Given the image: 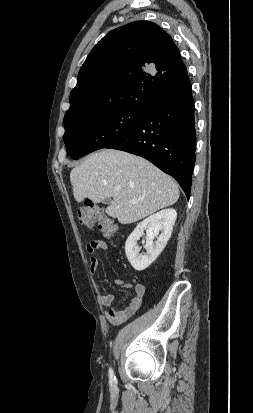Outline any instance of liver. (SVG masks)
Segmentation results:
<instances>
[{
    "instance_id": "6515ba94",
    "label": "liver",
    "mask_w": 253,
    "mask_h": 413,
    "mask_svg": "<svg viewBox=\"0 0 253 413\" xmlns=\"http://www.w3.org/2000/svg\"><path fill=\"white\" fill-rule=\"evenodd\" d=\"M70 181L78 203L113 197L106 213L121 224L139 221L179 198V188L170 176L142 157L114 149L88 156L71 170Z\"/></svg>"
}]
</instances>
